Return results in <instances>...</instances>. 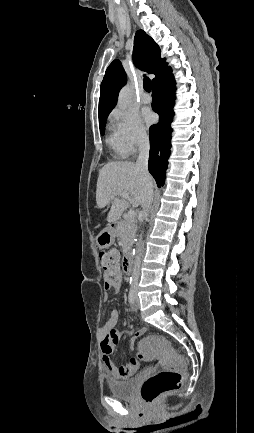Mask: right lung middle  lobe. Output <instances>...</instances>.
<instances>
[{"label":"right lung middle lobe","instance_id":"right-lung-middle-lobe-1","mask_svg":"<svg viewBox=\"0 0 254 433\" xmlns=\"http://www.w3.org/2000/svg\"><path fill=\"white\" fill-rule=\"evenodd\" d=\"M99 124H100V133H101V135H103L104 132H105V124H106V120L100 122Z\"/></svg>","mask_w":254,"mask_h":433}]
</instances>
